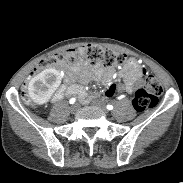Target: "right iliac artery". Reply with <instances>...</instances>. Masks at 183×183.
Returning a JSON list of instances; mask_svg holds the SVG:
<instances>
[{
	"label": "right iliac artery",
	"instance_id": "1",
	"mask_svg": "<svg viewBox=\"0 0 183 183\" xmlns=\"http://www.w3.org/2000/svg\"><path fill=\"white\" fill-rule=\"evenodd\" d=\"M75 101H76V99H75V98H71V99H70V101H69V103H70V104H74V103H75Z\"/></svg>",
	"mask_w": 183,
	"mask_h": 183
}]
</instances>
